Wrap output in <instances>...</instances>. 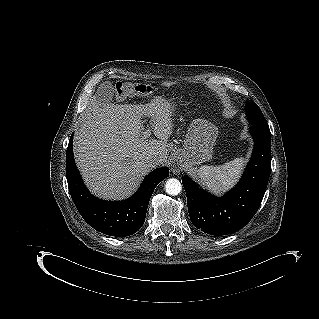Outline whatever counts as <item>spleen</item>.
I'll return each instance as SVG.
<instances>
[{
    "instance_id": "obj_1",
    "label": "spleen",
    "mask_w": 319,
    "mask_h": 319,
    "mask_svg": "<svg viewBox=\"0 0 319 319\" xmlns=\"http://www.w3.org/2000/svg\"><path fill=\"white\" fill-rule=\"evenodd\" d=\"M245 160L236 158L220 166H201L196 170L200 181L213 193L221 194L231 188L239 178Z\"/></svg>"
}]
</instances>
